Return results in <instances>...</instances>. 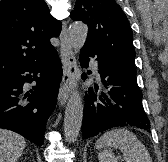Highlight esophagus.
I'll return each mask as SVG.
<instances>
[{
    "mask_svg": "<svg viewBox=\"0 0 168 162\" xmlns=\"http://www.w3.org/2000/svg\"><path fill=\"white\" fill-rule=\"evenodd\" d=\"M60 41H61L60 53L63 64V76L58 94V102L61 106H63L67 102L70 92L74 87V85L76 84V75L78 72L75 53L68 39L67 24L65 22L63 23L62 26Z\"/></svg>",
    "mask_w": 168,
    "mask_h": 162,
    "instance_id": "obj_1",
    "label": "esophagus"
}]
</instances>
